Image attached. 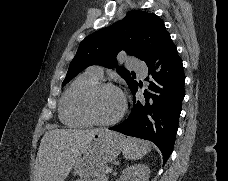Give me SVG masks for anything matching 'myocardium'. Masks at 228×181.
Masks as SVG:
<instances>
[{"label": "myocardium", "mask_w": 228, "mask_h": 181, "mask_svg": "<svg viewBox=\"0 0 228 181\" xmlns=\"http://www.w3.org/2000/svg\"><path fill=\"white\" fill-rule=\"evenodd\" d=\"M106 88H112L119 92L122 98V107L121 110L117 115L110 119H101L99 118L93 107V98L94 96L101 90ZM127 109V99L124 93L121 91L120 88H118L113 82H97L95 85H93L87 92L84 102H83V110L87 118L94 124L98 125H111L119 121L123 115L125 114V111Z\"/></svg>", "instance_id": "f54148a6"}]
</instances>
